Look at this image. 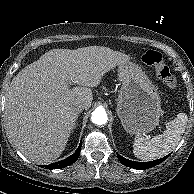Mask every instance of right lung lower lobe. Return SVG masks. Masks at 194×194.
Listing matches in <instances>:
<instances>
[{
  "instance_id": "right-lung-lower-lobe-1",
  "label": "right lung lower lobe",
  "mask_w": 194,
  "mask_h": 194,
  "mask_svg": "<svg viewBox=\"0 0 194 194\" xmlns=\"http://www.w3.org/2000/svg\"><path fill=\"white\" fill-rule=\"evenodd\" d=\"M80 150H81V143H80L77 151L74 154H72L71 156H69L68 158H66L62 161L56 162V163L42 166V167H44L46 169H59V168L67 167V166L73 164L79 158Z\"/></svg>"
}]
</instances>
